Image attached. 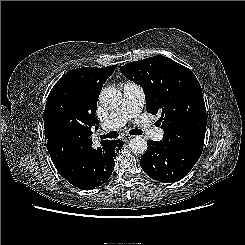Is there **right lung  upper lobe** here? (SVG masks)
I'll use <instances>...</instances> for the list:
<instances>
[{
    "label": "right lung upper lobe",
    "instance_id": "obj_1",
    "mask_svg": "<svg viewBox=\"0 0 245 245\" xmlns=\"http://www.w3.org/2000/svg\"><path fill=\"white\" fill-rule=\"evenodd\" d=\"M116 66L81 67L60 78L53 86L44 110L47 149L51 153L64 141L68 155L92 145V129H98L97 100L105 81Z\"/></svg>",
    "mask_w": 245,
    "mask_h": 245
}]
</instances>
